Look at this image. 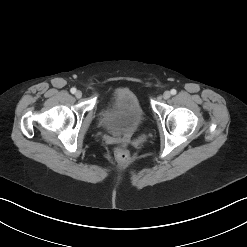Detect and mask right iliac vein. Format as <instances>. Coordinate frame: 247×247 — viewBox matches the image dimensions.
<instances>
[{
  "mask_svg": "<svg viewBox=\"0 0 247 247\" xmlns=\"http://www.w3.org/2000/svg\"><path fill=\"white\" fill-rule=\"evenodd\" d=\"M75 96H76L77 98H81V97H82V92H81V91H77V92L75 93Z\"/></svg>",
  "mask_w": 247,
  "mask_h": 247,
  "instance_id": "obj_1",
  "label": "right iliac vein"
}]
</instances>
